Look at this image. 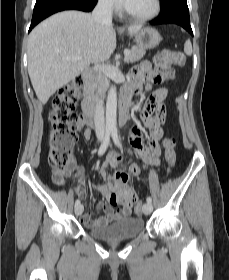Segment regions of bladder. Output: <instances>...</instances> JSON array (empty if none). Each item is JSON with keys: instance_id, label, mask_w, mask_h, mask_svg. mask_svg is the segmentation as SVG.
Here are the masks:
<instances>
[{"instance_id": "31cf9c89", "label": "bladder", "mask_w": 229, "mask_h": 280, "mask_svg": "<svg viewBox=\"0 0 229 280\" xmlns=\"http://www.w3.org/2000/svg\"><path fill=\"white\" fill-rule=\"evenodd\" d=\"M87 232L95 238L109 241L132 239L139 236L145 228V221L141 218L128 216L120 218L104 226L85 227Z\"/></svg>"}]
</instances>
